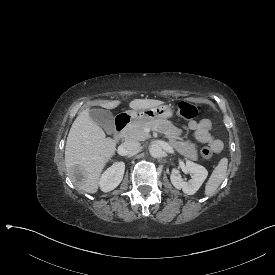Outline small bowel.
I'll use <instances>...</instances> for the list:
<instances>
[{
	"label": "small bowel",
	"instance_id": "c3829d8e",
	"mask_svg": "<svg viewBox=\"0 0 275 275\" xmlns=\"http://www.w3.org/2000/svg\"><path fill=\"white\" fill-rule=\"evenodd\" d=\"M186 129L193 131L195 134V138L199 143L208 144L213 148L214 152L219 153L222 148V142L213 136L210 132L211 123L209 120L204 119L200 122L191 121L186 125Z\"/></svg>",
	"mask_w": 275,
	"mask_h": 275
}]
</instances>
